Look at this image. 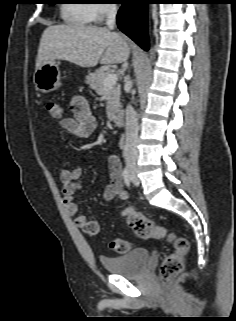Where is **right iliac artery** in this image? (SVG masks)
I'll return each instance as SVG.
<instances>
[{
	"label": "right iliac artery",
	"mask_w": 236,
	"mask_h": 321,
	"mask_svg": "<svg viewBox=\"0 0 236 321\" xmlns=\"http://www.w3.org/2000/svg\"><path fill=\"white\" fill-rule=\"evenodd\" d=\"M122 175H123L125 184L129 187L131 183V175L127 167L123 169Z\"/></svg>",
	"instance_id": "right-iliac-artery-1"
}]
</instances>
